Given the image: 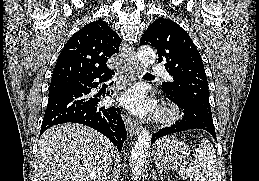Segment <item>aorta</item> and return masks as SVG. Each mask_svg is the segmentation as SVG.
I'll return each instance as SVG.
<instances>
[{"label": "aorta", "instance_id": "obj_1", "mask_svg": "<svg viewBox=\"0 0 259 181\" xmlns=\"http://www.w3.org/2000/svg\"><path fill=\"white\" fill-rule=\"evenodd\" d=\"M138 59L147 67L155 62V52L149 46H142L138 51ZM150 143V132L143 129L137 137L130 156V172L133 180L137 181L142 174Z\"/></svg>", "mask_w": 259, "mask_h": 181}]
</instances>
